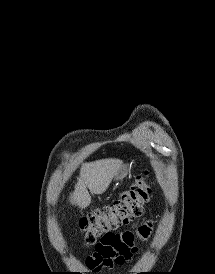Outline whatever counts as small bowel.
Segmentation results:
<instances>
[{"label":"small bowel","mask_w":215,"mask_h":274,"mask_svg":"<svg viewBox=\"0 0 215 274\" xmlns=\"http://www.w3.org/2000/svg\"><path fill=\"white\" fill-rule=\"evenodd\" d=\"M151 227L150 223H143L137 225L135 231L105 234L95 244L93 254L87 257L86 265L91 270L99 272L102 268H113L130 262L137 252L136 238H147L151 233Z\"/></svg>","instance_id":"obj_1"}]
</instances>
